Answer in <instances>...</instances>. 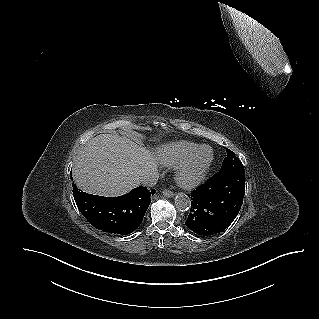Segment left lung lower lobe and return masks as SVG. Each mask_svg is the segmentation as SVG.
I'll return each mask as SVG.
<instances>
[{"mask_svg": "<svg viewBox=\"0 0 319 319\" xmlns=\"http://www.w3.org/2000/svg\"><path fill=\"white\" fill-rule=\"evenodd\" d=\"M244 192V171H219L191 193L186 226L200 235L222 232L239 213Z\"/></svg>", "mask_w": 319, "mask_h": 319, "instance_id": "1", "label": "left lung lower lobe"}]
</instances>
